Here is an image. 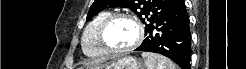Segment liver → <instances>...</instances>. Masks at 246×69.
<instances>
[{"label": "liver", "instance_id": "obj_1", "mask_svg": "<svg viewBox=\"0 0 246 69\" xmlns=\"http://www.w3.org/2000/svg\"><path fill=\"white\" fill-rule=\"evenodd\" d=\"M101 60H96V61H94V62H92V63H99Z\"/></svg>", "mask_w": 246, "mask_h": 69}]
</instances>
